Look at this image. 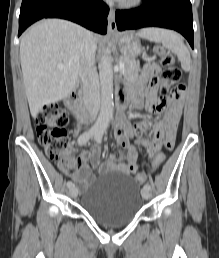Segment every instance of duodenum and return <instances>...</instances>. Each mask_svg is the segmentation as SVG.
<instances>
[{
  "label": "duodenum",
  "mask_w": 219,
  "mask_h": 258,
  "mask_svg": "<svg viewBox=\"0 0 219 258\" xmlns=\"http://www.w3.org/2000/svg\"><path fill=\"white\" fill-rule=\"evenodd\" d=\"M69 107L74 114V116L80 121L85 122L88 119V111L83 103L82 98V89L75 88L71 93L68 101ZM127 104V98L123 96H119L117 98V107L118 109H122Z\"/></svg>",
  "instance_id": "1"
}]
</instances>
